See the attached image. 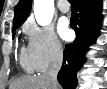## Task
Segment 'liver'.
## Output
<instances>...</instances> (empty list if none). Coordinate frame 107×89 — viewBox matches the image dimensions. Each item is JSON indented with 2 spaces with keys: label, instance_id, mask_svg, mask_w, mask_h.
<instances>
[{
  "label": "liver",
  "instance_id": "obj_1",
  "mask_svg": "<svg viewBox=\"0 0 107 89\" xmlns=\"http://www.w3.org/2000/svg\"><path fill=\"white\" fill-rule=\"evenodd\" d=\"M57 86L56 89H58ZM9 89H54L44 75L22 76L15 79Z\"/></svg>",
  "mask_w": 107,
  "mask_h": 89
}]
</instances>
